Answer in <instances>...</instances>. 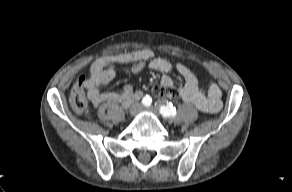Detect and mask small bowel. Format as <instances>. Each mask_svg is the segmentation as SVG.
<instances>
[{"mask_svg": "<svg viewBox=\"0 0 292 192\" xmlns=\"http://www.w3.org/2000/svg\"><path fill=\"white\" fill-rule=\"evenodd\" d=\"M131 74L141 72L145 67L165 74L161 85L172 89L184 102L193 104L203 114L217 113L221 107V90L215 82H210L207 91L199 87L195 73L184 64L172 65L163 58L155 57L151 49H142L128 53L118 54L98 62L91 71L85 83L88 97L93 106L97 107L103 102L119 103L128 106L133 100L142 96L140 91H135L131 85H125L122 92L101 91V86L110 84L116 76L115 66ZM177 72L184 80L181 87L176 89L171 78L166 75Z\"/></svg>", "mask_w": 292, "mask_h": 192, "instance_id": "obj_1", "label": "small bowel"}]
</instances>
